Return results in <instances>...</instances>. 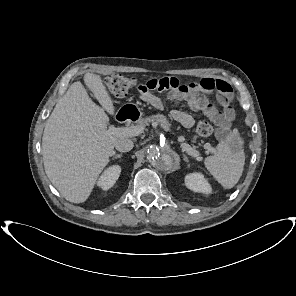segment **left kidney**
Here are the masks:
<instances>
[{"label": "left kidney", "instance_id": "left-kidney-1", "mask_svg": "<svg viewBox=\"0 0 296 296\" xmlns=\"http://www.w3.org/2000/svg\"><path fill=\"white\" fill-rule=\"evenodd\" d=\"M185 185L194 192L209 194L212 191L210 184L201 173L188 174L185 177Z\"/></svg>", "mask_w": 296, "mask_h": 296}]
</instances>
